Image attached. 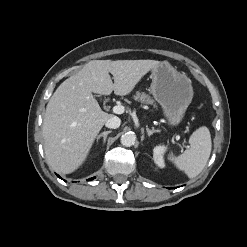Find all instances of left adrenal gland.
Returning a JSON list of instances; mask_svg holds the SVG:
<instances>
[{"instance_id": "obj_1", "label": "left adrenal gland", "mask_w": 247, "mask_h": 247, "mask_svg": "<svg viewBox=\"0 0 247 247\" xmlns=\"http://www.w3.org/2000/svg\"><path fill=\"white\" fill-rule=\"evenodd\" d=\"M146 131H147V134H148L149 137H150L151 135H153L154 133H159V132H160L159 130H156V129H154V128H152V130H150V129L148 128V126H146Z\"/></svg>"}]
</instances>
